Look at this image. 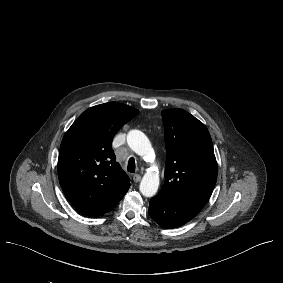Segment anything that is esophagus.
Instances as JSON below:
<instances>
[{"instance_id": "obj_1", "label": "esophagus", "mask_w": 283, "mask_h": 283, "mask_svg": "<svg viewBox=\"0 0 283 283\" xmlns=\"http://www.w3.org/2000/svg\"><path fill=\"white\" fill-rule=\"evenodd\" d=\"M133 181L136 182V183L140 182L141 181V175L135 174L133 176Z\"/></svg>"}]
</instances>
